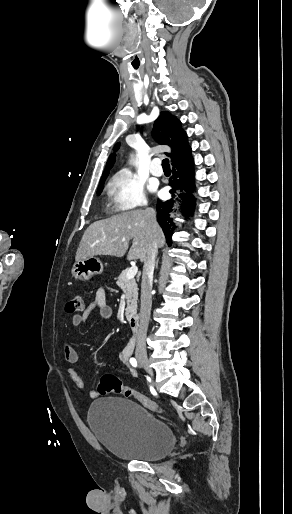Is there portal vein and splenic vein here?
Masks as SVG:
<instances>
[{"label":"portal vein and splenic vein","mask_w":292,"mask_h":514,"mask_svg":"<svg viewBox=\"0 0 292 514\" xmlns=\"http://www.w3.org/2000/svg\"><path fill=\"white\" fill-rule=\"evenodd\" d=\"M137 272H138L137 266H132V268H129V270L127 272L128 280H132V278H134V276H136Z\"/></svg>","instance_id":"18ae733b"}]
</instances>
